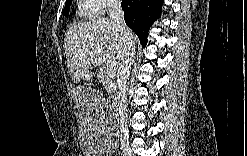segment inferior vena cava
Here are the masks:
<instances>
[{"mask_svg":"<svg viewBox=\"0 0 247 156\" xmlns=\"http://www.w3.org/2000/svg\"><path fill=\"white\" fill-rule=\"evenodd\" d=\"M109 16L113 24L118 28L123 40V53L118 66L116 93L113 97L116 111L119 115L120 130L123 136H126L127 122V95L126 81L130 73L131 65L134 61L135 43L132 39L131 30L124 21V12L121 7V1L112 0L109 3Z\"/></svg>","mask_w":247,"mask_h":156,"instance_id":"inferior-vena-cava-1","label":"inferior vena cava"}]
</instances>
